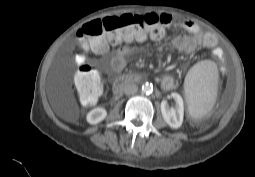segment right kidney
<instances>
[{
  "instance_id": "right-kidney-1",
  "label": "right kidney",
  "mask_w": 255,
  "mask_h": 177,
  "mask_svg": "<svg viewBox=\"0 0 255 177\" xmlns=\"http://www.w3.org/2000/svg\"><path fill=\"white\" fill-rule=\"evenodd\" d=\"M107 116V111L102 107H96L92 109L86 116V120L89 124L95 125L100 123Z\"/></svg>"
}]
</instances>
